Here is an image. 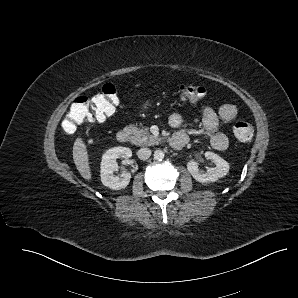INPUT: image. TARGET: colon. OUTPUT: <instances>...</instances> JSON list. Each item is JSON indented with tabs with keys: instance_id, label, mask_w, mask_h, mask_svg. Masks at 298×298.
<instances>
[{
	"instance_id": "colon-1",
	"label": "colon",
	"mask_w": 298,
	"mask_h": 298,
	"mask_svg": "<svg viewBox=\"0 0 298 298\" xmlns=\"http://www.w3.org/2000/svg\"><path fill=\"white\" fill-rule=\"evenodd\" d=\"M178 92L180 97L188 102H198L206 95L203 87L192 84H181ZM117 104V92L112 84L104 85L91 97L79 96L73 101L63 120V129L67 133H74L83 123L104 121L115 112ZM233 132L235 137L244 143L250 142L254 133L252 125L245 121L237 122Z\"/></svg>"
}]
</instances>
